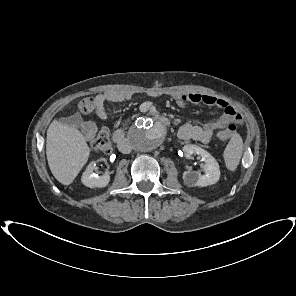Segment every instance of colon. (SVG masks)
Segmentation results:
<instances>
[{
  "mask_svg": "<svg viewBox=\"0 0 296 296\" xmlns=\"http://www.w3.org/2000/svg\"><path fill=\"white\" fill-rule=\"evenodd\" d=\"M237 132V126L234 123L229 124L224 130L218 132L217 139L225 141L233 137ZM92 148L99 153L109 154L112 150L110 132L107 128L101 129L92 141Z\"/></svg>",
  "mask_w": 296,
  "mask_h": 296,
  "instance_id": "obj_1",
  "label": "colon"
}]
</instances>
